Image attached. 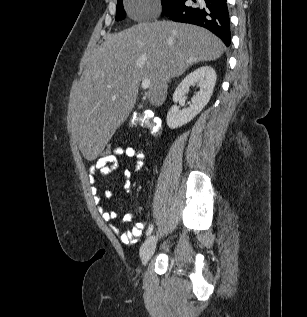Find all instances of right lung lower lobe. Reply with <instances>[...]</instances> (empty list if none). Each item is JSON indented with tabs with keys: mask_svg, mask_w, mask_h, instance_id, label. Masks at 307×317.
<instances>
[{
	"mask_svg": "<svg viewBox=\"0 0 307 317\" xmlns=\"http://www.w3.org/2000/svg\"><path fill=\"white\" fill-rule=\"evenodd\" d=\"M192 7L186 0H174L162 15L173 21L202 26L217 35L226 46L230 45V21L226 0H193Z\"/></svg>",
	"mask_w": 307,
	"mask_h": 317,
	"instance_id": "98d812e1",
	"label": "right lung lower lobe"
}]
</instances>
